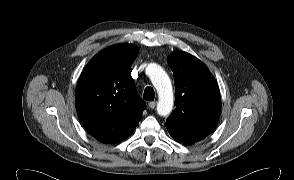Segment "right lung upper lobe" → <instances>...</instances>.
<instances>
[{
	"label": "right lung upper lobe",
	"instance_id": "right-lung-upper-lobe-1",
	"mask_svg": "<svg viewBox=\"0 0 294 180\" xmlns=\"http://www.w3.org/2000/svg\"><path fill=\"white\" fill-rule=\"evenodd\" d=\"M138 51L133 44L112 45L88 62L78 80V116L102 143L114 144L128 137L145 109L130 73Z\"/></svg>",
	"mask_w": 294,
	"mask_h": 180
}]
</instances>
